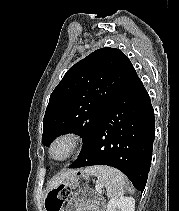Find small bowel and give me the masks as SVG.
<instances>
[{
  "instance_id": "1",
  "label": "small bowel",
  "mask_w": 179,
  "mask_h": 211,
  "mask_svg": "<svg viewBox=\"0 0 179 211\" xmlns=\"http://www.w3.org/2000/svg\"><path fill=\"white\" fill-rule=\"evenodd\" d=\"M65 211H104V201L93 190L84 188L74 194Z\"/></svg>"
}]
</instances>
